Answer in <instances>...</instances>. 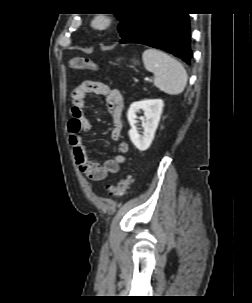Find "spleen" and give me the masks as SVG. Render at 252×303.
Instances as JSON below:
<instances>
[{"instance_id": "obj_1", "label": "spleen", "mask_w": 252, "mask_h": 303, "mask_svg": "<svg viewBox=\"0 0 252 303\" xmlns=\"http://www.w3.org/2000/svg\"><path fill=\"white\" fill-rule=\"evenodd\" d=\"M146 70L154 73V85L169 95H178L184 91L187 73L182 64L170 55L149 48L142 55Z\"/></svg>"}]
</instances>
